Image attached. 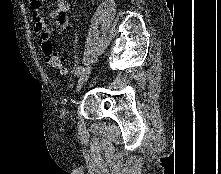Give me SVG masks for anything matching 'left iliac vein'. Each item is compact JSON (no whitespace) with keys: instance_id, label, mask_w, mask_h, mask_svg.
Instances as JSON below:
<instances>
[{"instance_id":"4c4485c4","label":"left iliac vein","mask_w":221,"mask_h":174,"mask_svg":"<svg viewBox=\"0 0 221 174\" xmlns=\"http://www.w3.org/2000/svg\"><path fill=\"white\" fill-rule=\"evenodd\" d=\"M90 73H91V67L88 66L80 74V77H79V80L77 83V91H79L81 89V87L83 86V84L88 80Z\"/></svg>"}]
</instances>
